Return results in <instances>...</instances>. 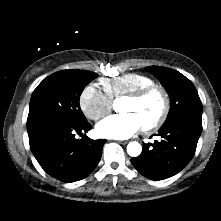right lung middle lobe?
<instances>
[{
	"instance_id": "dd1d6c3e",
	"label": "right lung middle lobe",
	"mask_w": 221,
	"mask_h": 221,
	"mask_svg": "<svg viewBox=\"0 0 221 221\" xmlns=\"http://www.w3.org/2000/svg\"><path fill=\"white\" fill-rule=\"evenodd\" d=\"M97 76L88 70H62L45 78L31 96L28 132L51 121H87L80 109L79 98L85 86Z\"/></svg>"
}]
</instances>
